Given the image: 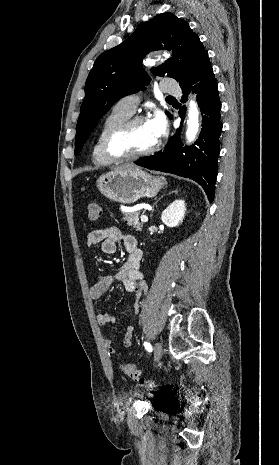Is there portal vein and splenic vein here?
I'll return each instance as SVG.
<instances>
[{
  "label": "portal vein and splenic vein",
  "instance_id": "18ae733b",
  "mask_svg": "<svg viewBox=\"0 0 279 465\" xmlns=\"http://www.w3.org/2000/svg\"><path fill=\"white\" fill-rule=\"evenodd\" d=\"M142 222H148V217L146 215H141Z\"/></svg>",
  "mask_w": 279,
  "mask_h": 465
}]
</instances>
